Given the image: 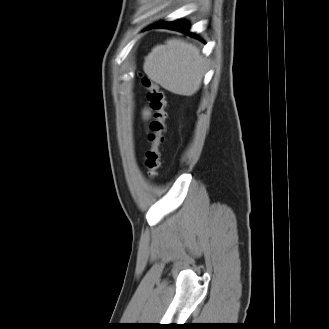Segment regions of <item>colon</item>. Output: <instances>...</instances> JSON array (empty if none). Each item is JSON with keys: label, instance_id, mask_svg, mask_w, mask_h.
Segmentation results:
<instances>
[{"label": "colon", "instance_id": "colon-1", "mask_svg": "<svg viewBox=\"0 0 329 329\" xmlns=\"http://www.w3.org/2000/svg\"><path fill=\"white\" fill-rule=\"evenodd\" d=\"M141 84L147 90V100L153 114L148 134L150 147L145 152L144 164L149 178L154 180L158 176L161 160L160 148L164 143L165 120L167 116L165 109L166 101L158 84L149 77L142 76Z\"/></svg>", "mask_w": 329, "mask_h": 329}]
</instances>
